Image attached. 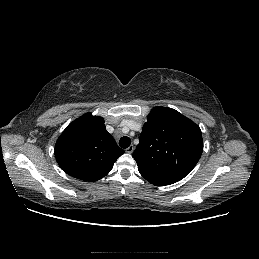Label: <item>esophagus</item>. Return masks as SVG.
Segmentation results:
<instances>
[{"label": "esophagus", "mask_w": 259, "mask_h": 259, "mask_svg": "<svg viewBox=\"0 0 259 259\" xmlns=\"http://www.w3.org/2000/svg\"><path fill=\"white\" fill-rule=\"evenodd\" d=\"M133 151H134V146H133V145H130V146L126 149V152L129 153V154L133 153Z\"/></svg>", "instance_id": "esophagus-1"}]
</instances>
